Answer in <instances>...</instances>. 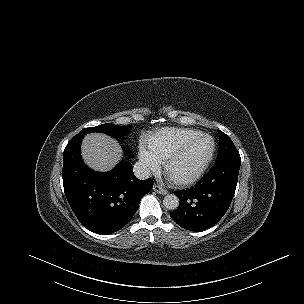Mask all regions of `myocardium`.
Listing matches in <instances>:
<instances>
[{
  "label": "myocardium",
  "instance_id": "f54148a6",
  "mask_svg": "<svg viewBox=\"0 0 304 304\" xmlns=\"http://www.w3.org/2000/svg\"><path fill=\"white\" fill-rule=\"evenodd\" d=\"M203 138H209L212 141V148L208 155V157L205 159V161L201 164V166L192 174L183 176V177H173L171 174V168L174 162L181 157L186 151L193 146L196 142ZM216 151V142L214 138L206 133L199 134L198 136L194 137L187 143H185L183 146H181L179 149H177L175 152H173L166 160L165 162V173L169 180L177 185V186H186L195 183L198 181L203 174L206 172L207 168L209 167L210 163L212 162L214 158V154Z\"/></svg>",
  "mask_w": 304,
  "mask_h": 304
}]
</instances>
